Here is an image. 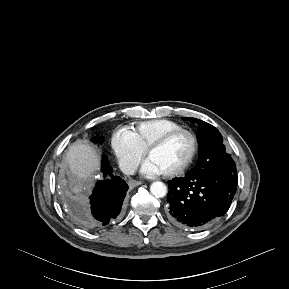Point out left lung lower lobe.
<instances>
[{
	"instance_id": "left-lung-lower-lobe-1",
	"label": "left lung lower lobe",
	"mask_w": 289,
	"mask_h": 289,
	"mask_svg": "<svg viewBox=\"0 0 289 289\" xmlns=\"http://www.w3.org/2000/svg\"><path fill=\"white\" fill-rule=\"evenodd\" d=\"M238 176L228 166L168 181L167 217L181 228L202 229L223 216L236 191Z\"/></svg>"
}]
</instances>
